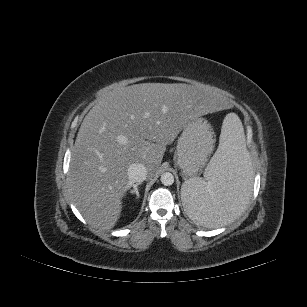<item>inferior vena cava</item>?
Returning a JSON list of instances; mask_svg holds the SVG:
<instances>
[{
  "label": "inferior vena cava",
  "mask_w": 307,
  "mask_h": 307,
  "mask_svg": "<svg viewBox=\"0 0 307 307\" xmlns=\"http://www.w3.org/2000/svg\"><path fill=\"white\" fill-rule=\"evenodd\" d=\"M128 176L131 182H143L147 177V169L141 163H133L128 167Z\"/></svg>",
  "instance_id": "inferior-vena-cava-1"
}]
</instances>
